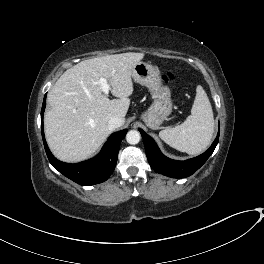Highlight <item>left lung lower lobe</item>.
<instances>
[{
    "label": "left lung lower lobe",
    "mask_w": 264,
    "mask_h": 264,
    "mask_svg": "<svg viewBox=\"0 0 264 264\" xmlns=\"http://www.w3.org/2000/svg\"><path fill=\"white\" fill-rule=\"evenodd\" d=\"M139 131L144 141L145 151L150 166L156 172L172 178H185L196 172L213 153L219 139L218 132L216 139L206 152L192 159L176 161L164 156L155 141L142 129H139Z\"/></svg>",
    "instance_id": "1"
}]
</instances>
